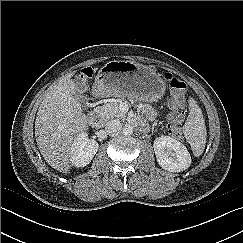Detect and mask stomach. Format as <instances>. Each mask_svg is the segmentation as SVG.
Wrapping results in <instances>:
<instances>
[{
	"instance_id": "stomach-1",
	"label": "stomach",
	"mask_w": 243,
	"mask_h": 243,
	"mask_svg": "<svg viewBox=\"0 0 243 243\" xmlns=\"http://www.w3.org/2000/svg\"><path fill=\"white\" fill-rule=\"evenodd\" d=\"M95 87L103 96L128 97L156 101L166 90L165 82L149 66L134 61H109L95 78Z\"/></svg>"
}]
</instances>
